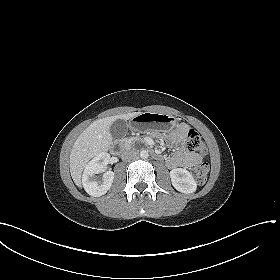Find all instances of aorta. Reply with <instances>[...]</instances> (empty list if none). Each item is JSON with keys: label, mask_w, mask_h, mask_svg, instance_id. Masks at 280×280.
Wrapping results in <instances>:
<instances>
[{"label": "aorta", "mask_w": 280, "mask_h": 280, "mask_svg": "<svg viewBox=\"0 0 280 280\" xmlns=\"http://www.w3.org/2000/svg\"><path fill=\"white\" fill-rule=\"evenodd\" d=\"M149 157V153L146 150L140 151V158L147 159Z\"/></svg>", "instance_id": "1"}]
</instances>
